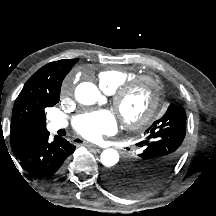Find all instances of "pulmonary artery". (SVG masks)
Returning a JSON list of instances; mask_svg holds the SVG:
<instances>
[{
	"label": "pulmonary artery",
	"mask_w": 216,
	"mask_h": 216,
	"mask_svg": "<svg viewBox=\"0 0 216 216\" xmlns=\"http://www.w3.org/2000/svg\"><path fill=\"white\" fill-rule=\"evenodd\" d=\"M49 129L52 131H56L67 126V121L62 118H55L49 122Z\"/></svg>",
	"instance_id": "obj_1"
}]
</instances>
